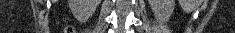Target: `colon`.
Here are the masks:
<instances>
[{
    "label": "colon",
    "mask_w": 235,
    "mask_h": 33,
    "mask_svg": "<svg viewBox=\"0 0 235 33\" xmlns=\"http://www.w3.org/2000/svg\"><path fill=\"white\" fill-rule=\"evenodd\" d=\"M67 32H72V30L71 29H67Z\"/></svg>",
    "instance_id": "1"
}]
</instances>
